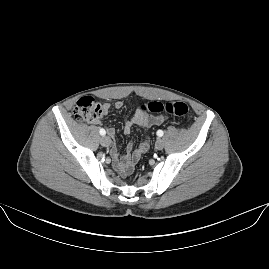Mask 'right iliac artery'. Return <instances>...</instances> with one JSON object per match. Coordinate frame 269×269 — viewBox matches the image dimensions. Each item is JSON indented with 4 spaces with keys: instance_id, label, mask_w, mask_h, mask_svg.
I'll return each instance as SVG.
<instances>
[{
    "instance_id": "1",
    "label": "right iliac artery",
    "mask_w": 269,
    "mask_h": 269,
    "mask_svg": "<svg viewBox=\"0 0 269 269\" xmlns=\"http://www.w3.org/2000/svg\"><path fill=\"white\" fill-rule=\"evenodd\" d=\"M100 134L102 135V136H104L105 134H106V132H105V130L102 128V129H100Z\"/></svg>"
}]
</instances>
